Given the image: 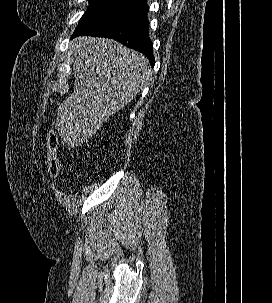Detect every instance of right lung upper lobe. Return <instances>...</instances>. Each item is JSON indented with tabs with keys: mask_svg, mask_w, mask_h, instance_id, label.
Instances as JSON below:
<instances>
[{
	"mask_svg": "<svg viewBox=\"0 0 272 303\" xmlns=\"http://www.w3.org/2000/svg\"><path fill=\"white\" fill-rule=\"evenodd\" d=\"M115 1H122V2H127L130 4L137 5L141 10H145L148 8L146 0H115Z\"/></svg>",
	"mask_w": 272,
	"mask_h": 303,
	"instance_id": "obj_1",
	"label": "right lung upper lobe"
}]
</instances>
